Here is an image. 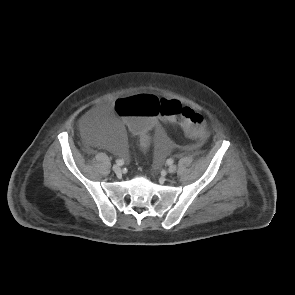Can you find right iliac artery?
I'll list each match as a JSON object with an SVG mask.
<instances>
[{"label": "right iliac artery", "instance_id": "1", "mask_svg": "<svg viewBox=\"0 0 295 295\" xmlns=\"http://www.w3.org/2000/svg\"><path fill=\"white\" fill-rule=\"evenodd\" d=\"M116 163H117L118 165H123V164H124V161L121 160V159H118V160H116Z\"/></svg>", "mask_w": 295, "mask_h": 295}]
</instances>
